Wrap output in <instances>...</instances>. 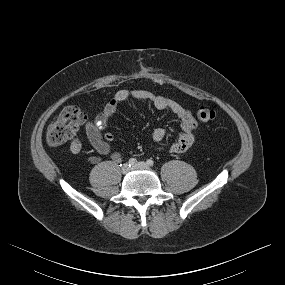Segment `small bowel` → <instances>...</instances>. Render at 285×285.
I'll return each mask as SVG.
<instances>
[{
  "label": "small bowel",
  "instance_id": "1",
  "mask_svg": "<svg viewBox=\"0 0 285 285\" xmlns=\"http://www.w3.org/2000/svg\"><path fill=\"white\" fill-rule=\"evenodd\" d=\"M129 99L150 102L158 110H167L176 116L181 127V134L176 142L171 146V152L176 154L185 153L193 146L197 124L192 114L181 104L148 90L121 89L112 96L103 110L96 116L94 121H89L85 124V133L87 138L100 155L111 154V159L114 162H121V153L117 151L111 152L110 143L114 139L113 133L111 131H103L107 127L109 120L115 114L117 108ZM166 134L167 132L165 129L157 128L152 134V139L154 142H161L166 137ZM69 147L72 154L78 155L82 151L83 144L78 137H74L72 138ZM86 160L92 164L99 162V158L96 156H89Z\"/></svg>",
  "mask_w": 285,
  "mask_h": 285
}]
</instances>
